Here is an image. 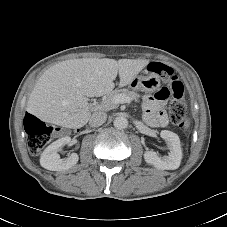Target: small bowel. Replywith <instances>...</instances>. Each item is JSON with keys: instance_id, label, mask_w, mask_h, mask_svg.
<instances>
[{"instance_id": "obj_1", "label": "small bowel", "mask_w": 227, "mask_h": 227, "mask_svg": "<svg viewBox=\"0 0 227 227\" xmlns=\"http://www.w3.org/2000/svg\"><path fill=\"white\" fill-rule=\"evenodd\" d=\"M171 98V91L166 86H159L154 91V96L144 98V110L146 121L154 127L165 126L167 117L163 109L164 103Z\"/></svg>"}]
</instances>
